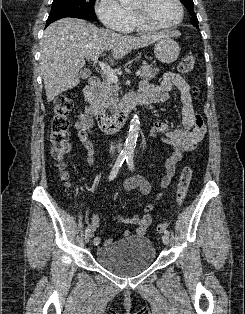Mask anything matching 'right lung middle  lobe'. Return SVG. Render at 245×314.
Here are the masks:
<instances>
[{"instance_id":"dd1d6c3e","label":"right lung middle lobe","mask_w":245,"mask_h":314,"mask_svg":"<svg viewBox=\"0 0 245 314\" xmlns=\"http://www.w3.org/2000/svg\"><path fill=\"white\" fill-rule=\"evenodd\" d=\"M95 0H53L49 17L77 14L96 19Z\"/></svg>"}]
</instances>
